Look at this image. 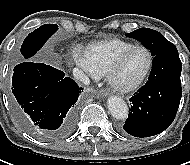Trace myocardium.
Wrapping results in <instances>:
<instances>
[{"label":"myocardium","instance_id":"1","mask_svg":"<svg viewBox=\"0 0 190 165\" xmlns=\"http://www.w3.org/2000/svg\"><path fill=\"white\" fill-rule=\"evenodd\" d=\"M135 49H143L147 52L148 57H149L148 66H147L145 72L143 73V75L137 81H135L131 84H121L117 81L116 76H117L126 56ZM153 65H154V56H153L151 50L148 47H146L145 45L134 44L131 47L122 51L118 55V57L116 58V60L114 61L113 65L111 66L110 70L108 71V73L106 75L107 81L113 89H115L116 91H119L121 93H129V92L135 91L146 81V79L148 78V76L150 75V73L152 71Z\"/></svg>","mask_w":190,"mask_h":165}]
</instances>
